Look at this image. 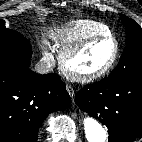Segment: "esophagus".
<instances>
[{"label": "esophagus", "mask_w": 142, "mask_h": 142, "mask_svg": "<svg viewBox=\"0 0 142 142\" xmlns=\"http://www.w3.org/2000/svg\"><path fill=\"white\" fill-rule=\"evenodd\" d=\"M66 90H67L68 94L70 95V97L73 99L74 95H75L74 89L71 86L67 85Z\"/></svg>", "instance_id": "esophagus-1"}]
</instances>
